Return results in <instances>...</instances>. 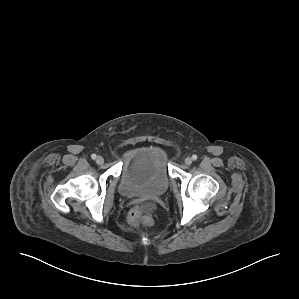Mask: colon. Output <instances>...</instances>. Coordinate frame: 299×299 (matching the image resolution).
<instances>
[{
	"instance_id": "colon-1",
	"label": "colon",
	"mask_w": 299,
	"mask_h": 299,
	"mask_svg": "<svg viewBox=\"0 0 299 299\" xmlns=\"http://www.w3.org/2000/svg\"><path fill=\"white\" fill-rule=\"evenodd\" d=\"M128 222L131 225H150L151 217L140 207L133 208L128 214Z\"/></svg>"
}]
</instances>
